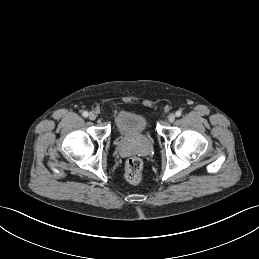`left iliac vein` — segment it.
Returning a JSON list of instances; mask_svg holds the SVG:
<instances>
[{
  "label": "left iliac vein",
  "mask_w": 259,
  "mask_h": 259,
  "mask_svg": "<svg viewBox=\"0 0 259 259\" xmlns=\"http://www.w3.org/2000/svg\"><path fill=\"white\" fill-rule=\"evenodd\" d=\"M174 120H175V115H174V114H170V115L168 116V121H169V122H174Z\"/></svg>",
  "instance_id": "4c4485c4"
}]
</instances>
